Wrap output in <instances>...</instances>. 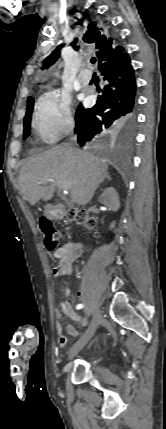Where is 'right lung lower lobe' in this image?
Returning <instances> with one entry per match:
<instances>
[{
	"instance_id": "obj_1",
	"label": "right lung lower lobe",
	"mask_w": 166,
	"mask_h": 429,
	"mask_svg": "<svg viewBox=\"0 0 166 429\" xmlns=\"http://www.w3.org/2000/svg\"><path fill=\"white\" fill-rule=\"evenodd\" d=\"M99 70L106 81L102 94L91 109L80 104L75 115L81 146L103 132L127 135L135 124L136 81L125 49L119 56L99 62Z\"/></svg>"
}]
</instances>
